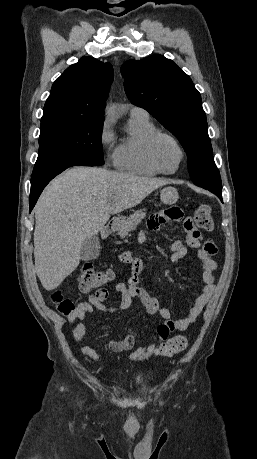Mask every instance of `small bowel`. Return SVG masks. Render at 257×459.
Segmentation results:
<instances>
[{"mask_svg": "<svg viewBox=\"0 0 257 459\" xmlns=\"http://www.w3.org/2000/svg\"><path fill=\"white\" fill-rule=\"evenodd\" d=\"M179 222H183L181 234L176 235L175 242L167 250V255L173 264H180L185 260L187 247H196L198 261L190 260L189 262L201 272V278L204 283L198 295L190 304L187 313L180 319H172L171 311L162 298L151 295L138 285L142 264L145 261L144 256L132 253L131 249H121L118 258L119 264H133V274L127 283H118L115 286L116 292L120 295V303L118 305H107L104 303L105 299L101 300L97 297L96 293L88 292L86 300L77 302L76 309L66 318L69 324L76 320L79 321L72 331V337L88 363L92 364L101 361L100 354L93 347L83 342L86 333L84 320L94 310L109 314L116 313L128 309L133 299L138 298L147 313L159 314L164 320L157 327V331L153 337L154 341L166 340L173 331L186 330L202 313L215 290L214 272L217 269V263L214 259V255L216 254L215 245L209 241H201L198 233L196 234V223L194 220H190V215L187 213L185 205H157V211L149 213L145 219L146 226H149L151 229L157 226L160 228L178 226ZM134 241L136 244H147L149 238L147 235H136ZM138 339L139 335L132 329H129L123 339H111L108 342V348L113 352L131 350ZM155 350V342L139 346L131 352L128 360L141 362L149 358Z\"/></svg>", "mask_w": 257, "mask_h": 459, "instance_id": "1", "label": "small bowel"}]
</instances>
